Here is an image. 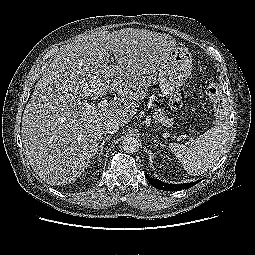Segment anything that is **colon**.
I'll return each instance as SVG.
<instances>
[{
	"label": "colon",
	"instance_id": "obj_1",
	"mask_svg": "<svg viewBox=\"0 0 255 255\" xmlns=\"http://www.w3.org/2000/svg\"><path fill=\"white\" fill-rule=\"evenodd\" d=\"M208 92H209L210 95H214L215 92H216V90L213 89V88H210V89L208 90ZM171 104H172V106H173L174 108L180 107V99H179V98H174V99L171 101Z\"/></svg>",
	"mask_w": 255,
	"mask_h": 255
}]
</instances>
